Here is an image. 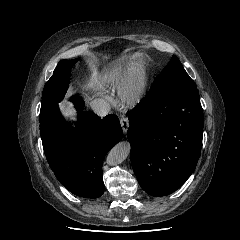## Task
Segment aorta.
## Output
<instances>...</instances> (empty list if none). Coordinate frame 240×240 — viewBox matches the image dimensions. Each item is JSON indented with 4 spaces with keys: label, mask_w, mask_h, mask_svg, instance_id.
I'll return each mask as SVG.
<instances>
[{
    "label": "aorta",
    "mask_w": 240,
    "mask_h": 240,
    "mask_svg": "<svg viewBox=\"0 0 240 240\" xmlns=\"http://www.w3.org/2000/svg\"><path fill=\"white\" fill-rule=\"evenodd\" d=\"M130 152V145L127 142L118 143L108 155V162L112 164H119L123 162Z\"/></svg>",
    "instance_id": "762f6f07"
}]
</instances>
